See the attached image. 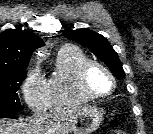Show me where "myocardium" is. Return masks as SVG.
Instances as JSON below:
<instances>
[{"instance_id": "myocardium-1", "label": "myocardium", "mask_w": 153, "mask_h": 134, "mask_svg": "<svg viewBox=\"0 0 153 134\" xmlns=\"http://www.w3.org/2000/svg\"><path fill=\"white\" fill-rule=\"evenodd\" d=\"M94 68L101 69L109 76L112 82V87L110 91L106 93L98 94V93L92 92L89 89L88 76L90 72L92 71V69ZM77 83H78L79 91L82 93V95H84L90 100H97V99H102V98L110 96L111 94H113L117 86V81H116L114 74L105 65H103L100 62L94 61V60H88L80 67L78 74H77Z\"/></svg>"}]
</instances>
